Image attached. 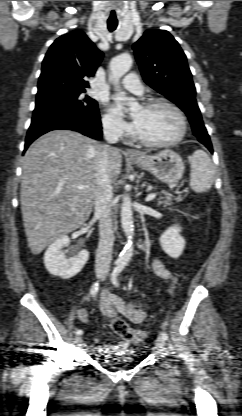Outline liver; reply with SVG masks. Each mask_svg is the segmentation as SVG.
I'll list each match as a JSON object with an SVG mask.
<instances>
[{"label":"liver","mask_w":242,"mask_h":416,"mask_svg":"<svg viewBox=\"0 0 242 416\" xmlns=\"http://www.w3.org/2000/svg\"><path fill=\"white\" fill-rule=\"evenodd\" d=\"M102 146L75 131L53 130L26 151L20 198L28 246L34 255L89 218ZM109 161V178L115 183L122 167L118 149ZM79 185L84 188L78 189Z\"/></svg>","instance_id":"6515ba94"}]
</instances>
